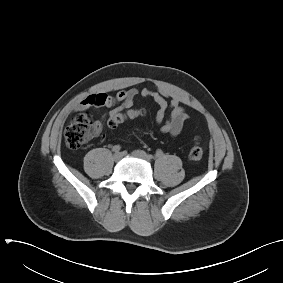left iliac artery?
Here are the masks:
<instances>
[{
    "label": "left iliac artery",
    "mask_w": 283,
    "mask_h": 283,
    "mask_svg": "<svg viewBox=\"0 0 283 283\" xmlns=\"http://www.w3.org/2000/svg\"><path fill=\"white\" fill-rule=\"evenodd\" d=\"M162 155H163V152H162L161 150H158V151L156 152L155 157H156V158H159V157H161ZM150 157H151V158H154L152 155H150Z\"/></svg>",
    "instance_id": "44dca946"
}]
</instances>
